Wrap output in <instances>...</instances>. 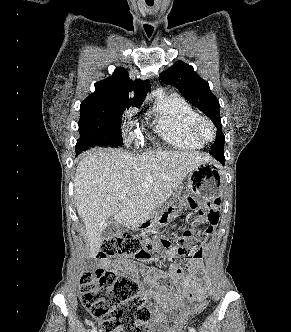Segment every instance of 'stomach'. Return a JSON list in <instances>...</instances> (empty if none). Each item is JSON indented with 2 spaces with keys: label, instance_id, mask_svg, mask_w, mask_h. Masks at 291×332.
Here are the masks:
<instances>
[{
  "label": "stomach",
  "instance_id": "0dacf381",
  "mask_svg": "<svg viewBox=\"0 0 291 332\" xmlns=\"http://www.w3.org/2000/svg\"><path fill=\"white\" fill-rule=\"evenodd\" d=\"M223 179L222 170L213 160L203 162L189 173L186 190L197 201H210L221 195ZM181 193L182 190L174 191L173 200L156 212L144 226L151 230L166 225L174 212L187 210V196Z\"/></svg>",
  "mask_w": 291,
  "mask_h": 332
}]
</instances>
